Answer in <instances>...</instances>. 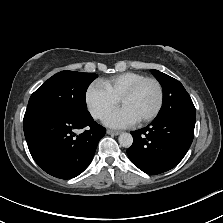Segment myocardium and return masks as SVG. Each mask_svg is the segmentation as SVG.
<instances>
[{
    "label": "myocardium",
    "instance_id": "obj_1",
    "mask_svg": "<svg viewBox=\"0 0 223 223\" xmlns=\"http://www.w3.org/2000/svg\"><path fill=\"white\" fill-rule=\"evenodd\" d=\"M146 83H152L156 87L157 90V102L156 105L153 109V111L147 115L146 117L137 120L138 122H148L153 120L160 112L162 104H163V89L160 84V82L152 77H145L144 79L138 81L135 85H133L131 88H129L126 92H124L120 97H119V103L131 96H133L144 84Z\"/></svg>",
    "mask_w": 223,
    "mask_h": 223
}]
</instances>
